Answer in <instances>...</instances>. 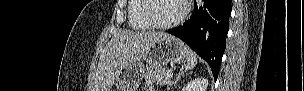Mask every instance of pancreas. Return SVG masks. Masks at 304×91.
Segmentation results:
<instances>
[{
    "label": "pancreas",
    "mask_w": 304,
    "mask_h": 91,
    "mask_svg": "<svg viewBox=\"0 0 304 91\" xmlns=\"http://www.w3.org/2000/svg\"><path fill=\"white\" fill-rule=\"evenodd\" d=\"M167 72L168 70L164 67H149L145 74L146 84L164 85L168 81L166 77Z\"/></svg>",
    "instance_id": "1"
}]
</instances>
